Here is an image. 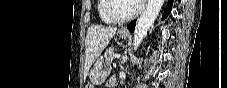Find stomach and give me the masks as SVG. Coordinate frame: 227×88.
I'll use <instances>...</instances> for the list:
<instances>
[{
	"mask_svg": "<svg viewBox=\"0 0 227 88\" xmlns=\"http://www.w3.org/2000/svg\"><path fill=\"white\" fill-rule=\"evenodd\" d=\"M119 36L121 39H127L129 33L127 31H120ZM108 75L107 69L103 65V61L99 59L89 72V78L91 82L95 85L102 84Z\"/></svg>",
	"mask_w": 227,
	"mask_h": 88,
	"instance_id": "1",
	"label": "stomach"
}]
</instances>
